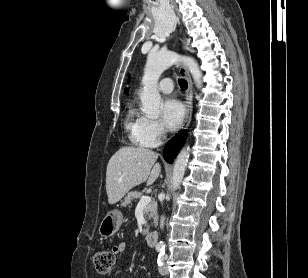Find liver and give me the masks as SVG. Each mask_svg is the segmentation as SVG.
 I'll use <instances>...</instances> for the list:
<instances>
[{
  "instance_id": "obj_1",
  "label": "liver",
  "mask_w": 308,
  "mask_h": 278,
  "mask_svg": "<svg viewBox=\"0 0 308 278\" xmlns=\"http://www.w3.org/2000/svg\"><path fill=\"white\" fill-rule=\"evenodd\" d=\"M158 154L138 147H122L109 160L106 171V192L109 204L120 201L133 187L147 181L152 185L161 172L156 163Z\"/></svg>"
}]
</instances>
